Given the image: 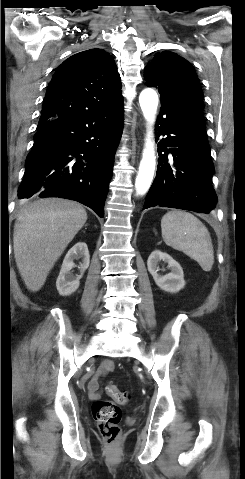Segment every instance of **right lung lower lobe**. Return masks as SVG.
Listing matches in <instances>:
<instances>
[{"mask_svg": "<svg viewBox=\"0 0 245 479\" xmlns=\"http://www.w3.org/2000/svg\"><path fill=\"white\" fill-rule=\"evenodd\" d=\"M122 106L54 119L38 128L27 156L19 199L61 197L101 218L122 128Z\"/></svg>", "mask_w": 245, "mask_h": 479, "instance_id": "1", "label": "right lung lower lobe"}]
</instances>
